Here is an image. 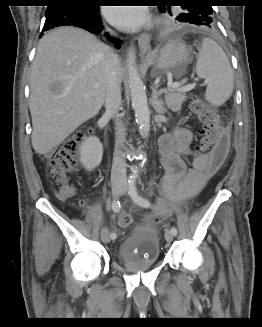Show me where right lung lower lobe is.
I'll use <instances>...</instances> for the list:
<instances>
[{
	"mask_svg": "<svg viewBox=\"0 0 262 327\" xmlns=\"http://www.w3.org/2000/svg\"><path fill=\"white\" fill-rule=\"evenodd\" d=\"M99 7L82 5L76 0H56L46 10L43 31L59 26H76L94 34L100 33L103 26ZM110 40L120 48V40L114 38Z\"/></svg>",
	"mask_w": 262,
	"mask_h": 327,
	"instance_id": "right-lung-lower-lobe-1",
	"label": "right lung lower lobe"
}]
</instances>
